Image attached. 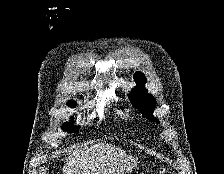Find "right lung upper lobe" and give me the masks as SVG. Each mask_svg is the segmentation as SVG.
I'll return each mask as SVG.
<instances>
[{"mask_svg": "<svg viewBox=\"0 0 224 174\" xmlns=\"http://www.w3.org/2000/svg\"><path fill=\"white\" fill-rule=\"evenodd\" d=\"M70 104H75V102L74 101H71V102H69Z\"/></svg>", "mask_w": 224, "mask_h": 174, "instance_id": "1", "label": "right lung upper lobe"}]
</instances>
